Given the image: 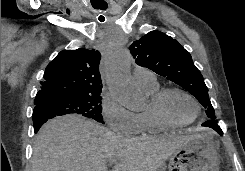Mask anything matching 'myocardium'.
I'll return each instance as SVG.
<instances>
[{
    "label": "myocardium",
    "mask_w": 245,
    "mask_h": 171,
    "mask_svg": "<svg viewBox=\"0 0 245 171\" xmlns=\"http://www.w3.org/2000/svg\"><path fill=\"white\" fill-rule=\"evenodd\" d=\"M170 93H180L185 97H187L192 102V104L195 107V115L190 121L185 123H175L166 116L163 109V103L166 96ZM147 110L152 116V118L159 125L168 129H180V128L188 127L192 125L200 115V105L198 101L195 99V97L190 93H188L187 91L178 87H165V88L158 89L153 95H151Z\"/></svg>",
    "instance_id": "f54148a6"
}]
</instances>
